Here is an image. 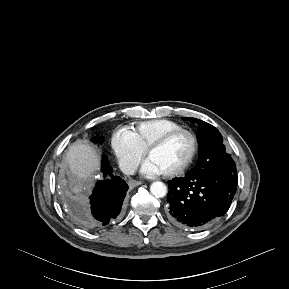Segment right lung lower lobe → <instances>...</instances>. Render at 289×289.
Listing matches in <instances>:
<instances>
[{
  "instance_id": "98d812e1",
  "label": "right lung lower lobe",
  "mask_w": 289,
  "mask_h": 289,
  "mask_svg": "<svg viewBox=\"0 0 289 289\" xmlns=\"http://www.w3.org/2000/svg\"><path fill=\"white\" fill-rule=\"evenodd\" d=\"M102 172L110 179L98 181L90 196V210L84 216V224L88 227L102 228L116 222L128 191L127 183L112 174L106 157L102 160Z\"/></svg>"
}]
</instances>
